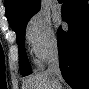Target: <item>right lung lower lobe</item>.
Returning <instances> with one entry per match:
<instances>
[{"mask_svg":"<svg viewBox=\"0 0 89 89\" xmlns=\"http://www.w3.org/2000/svg\"><path fill=\"white\" fill-rule=\"evenodd\" d=\"M62 19L69 29L58 30L59 65L64 80L73 89L89 86V7L87 0H64Z\"/></svg>","mask_w":89,"mask_h":89,"instance_id":"right-lung-lower-lobe-1","label":"right lung lower lobe"}]
</instances>
